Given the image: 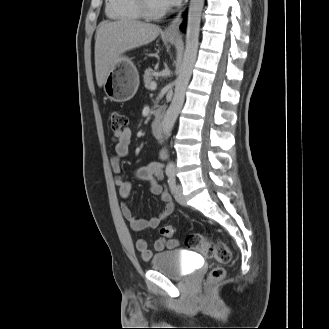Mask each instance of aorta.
Returning a JSON list of instances; mask_svg holds the SVG:
<instances>
[{
  "label": "aorta",
  "instance_id": "762f6f07",
  "mask_svg": "<svg viewBox=\"0 0 329 329\" xmlns=\"http://www.w3.org/2000/svg\"><path fill=\"white\" fill-rule=\"evenodd\" d=\"M203 6L204 0H190L184 57L180 67L179 75L175 81V92L173 100L167 109L162 121L163 133L166 136L170 135L174 123L181 111L185 99V92L196 61ZM166 170L174 171V163H168Z\"/></svg>",
  "mask_w": 329,
  "mask_h": 329
}]
</instances>
